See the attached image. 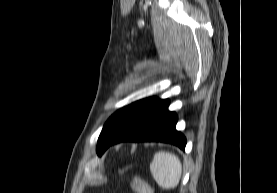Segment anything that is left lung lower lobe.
Returning a JSON list of instances; mask_svg holds the SVG:
<instances>
[{
  "mask_svg": "<svg viewBox=\"0 0 277 193\" xmlns=\"http://www.w3.org/2000/svg\"><path fill=\"white\" fill-rule=\"evenodd\" d=\"M169 100L150 97L127 106L100 140V155L122 141H161L185 149L186 138L175 128L177 115L168 111Z\"/></svg>",
  "mask_w": 277,
  "mask_h": 193,
  "instance_id": "left-lung-lower-lobe-1",
  "label": "left lung lower lobe"
}]
</instances>
